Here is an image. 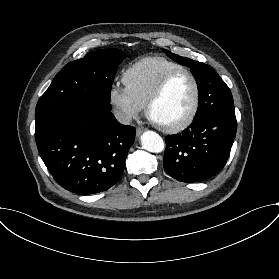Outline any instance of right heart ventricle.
<instances>
[{
	"mask_svg": "<svg viewBox=\"0 0 279 279\" xmlns=\"http://www.w3.org/2000/svg\"><path fill=\"white\" fill-rule=\"evenodd\" d=\"M185 69L175 61L163 57H146L136 62L127 70L125 83L144 101H148L152 91L169 73Z\"/></svg>",
	"mask_w": 279,
	"mask_h": 279,
	"instance_id": "1",
	"label": "right heart ventricle"
}]
</instances>
